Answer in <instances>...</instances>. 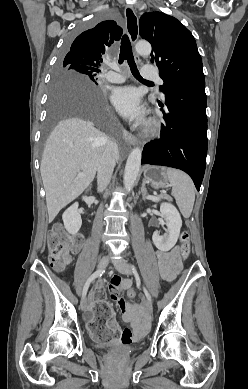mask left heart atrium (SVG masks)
I'll return each instance as SVG.
<instances>
[{"mask_svg": "<svg viewBox=\"0 0 248 389\" xmlns=\"http://www.w3.org/2000/svg\"><path fill=\"white\" fill-rule=\"evenodd\" d=\"M112 103L124 118L137 122L143 120L144 109L140 102V95L135 88L116 89L112 94Z\"/></svg>", "mask_w": 248, "mask_h": 389, "instance_id": "left-heart-atrium-1", "label": "left heart atrium"}]
</instances>
